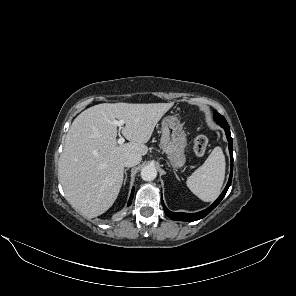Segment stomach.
Listing matches in <instances>:
<instances>
[{
  "mask_svg": "<svg viewBox=\"0 0 296 296\" xmlns=\"http://www.w3.org/2000/svg\"><path fill=\"white\" fill-rule=\"evenodd\" d=\"M161 125V149L167 155L169 164L173 168H181L186 162L184 151L187 141L180 121L175 116H166Z\"/></svg>",
  "mask_w": 296,
  "mask_h": 296,
  "instance_id": "obj_1",
  "label": "stomach"
}]
</instances>
